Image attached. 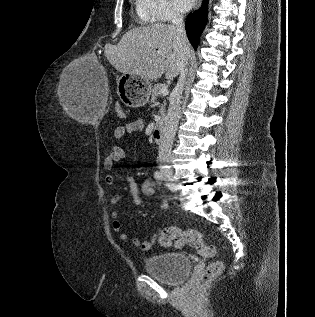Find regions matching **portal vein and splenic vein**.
Wrapping results in <instances>:
<instances>
[{
    "label": "portal vein and splenic vein",
    "mask_w": 315,
    "mask_h": 317,
    "mask_svg": "<svg viewBox=\"0 0 315 317\" xmlns=\"http://www.w3.org/2000/svg\"><path fill=\"white\" fill-rule=\"evenodd\" d=\"M161 94L166 96L168 94V89L166 87L161 89Z\"/></svg>",
    "instance_id": "18ae733b"
}]
</instances>
